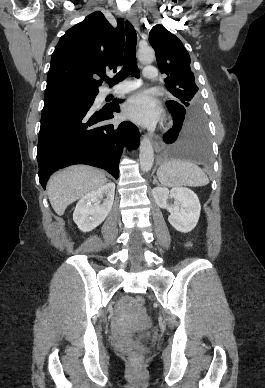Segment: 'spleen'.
I'll return each instance as SVG.
<instances>
[{"label":"spleen","mask_w":265,"mask_h":388,"mask_svg":"<svg viewBox=\"0 0 265 388\" xmlns=\"http://www.w3.org/2000/svg\"><path fill=\"white\" fill-rule=\"evenodd\" d=\"M157 178L162 186H207L209 180L201 168L190 160H169L157 170Z\"/></svg>","instance_id":"obj_1"}]
</instances>
